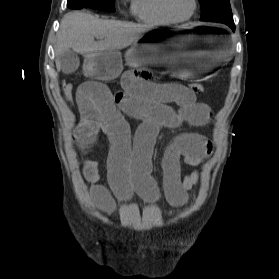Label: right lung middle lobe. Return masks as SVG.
I'll return each mask as SVG.
<instances>
[{
  "label": "right lung middle lobe",
  "mask_w": 279,
  "mask_h": 279,
  "mask_svg": "<svg viewBox=\"0 0 279 279\" xmlns=\"http://www.w3.org/2000/svg\"><path fill=\"white\" fill-rule=\"evenodd\" d=\"M114 3L115 0H68L67 7L72 9L76 6H83L108 12H114Z\"/></svg>",
  "instance_id": "right-lung-middle-lobe-1"
}]
</instances>
